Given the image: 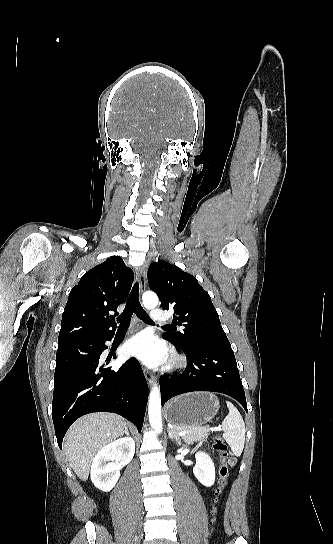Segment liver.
I'll return each mask as SVG.
<instances>
[{"label":"liver","instance_id":"liver-1","mask_svg":"<svg viewBox=\"0 0 333 544\" xmlns=\"http://www.w3.org/2000/svg\"><path fill=\"white\" fill-rule=\"evenodd\" d=\"M126 424L115 414L94 413L78 419L68 430L64 453L76 475L89 477L91 463L98 451L124 434Z\"/></svg>","mask_w":333,"mask_h":544}]
</instances>
